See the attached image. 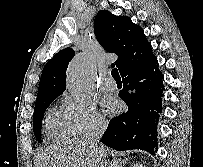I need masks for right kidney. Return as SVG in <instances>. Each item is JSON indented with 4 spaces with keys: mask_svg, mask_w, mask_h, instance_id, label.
Returning a JSON list of instances; mask_svg holds the SVG:
<instances>
[{
    "mask_svg": "<svg viewBox=\"0 0 203 167\" xmlns=\"http://www.w3.org/2000/svg\"><path fill=\"white\" fill-rule=\"evenodd\" d=\"M134 167H143L142 164H136Z\"/></svg>",
    "mask_w": 203,
    "mask_h": 167,
    "instance_id": "ca27d5eb",
    "label": "right kidney"
}]
</instances>
